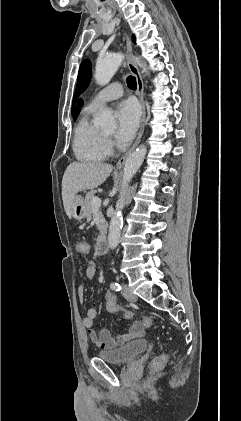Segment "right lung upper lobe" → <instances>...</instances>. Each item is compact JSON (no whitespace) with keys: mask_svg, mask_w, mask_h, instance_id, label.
I'll return each instance as SVG.
<instances>
[{"mask_svg":"<svg viewBox=\"0 0 241 421\" xmlns=\"http://www.w3.org/2000/svg\"><path fill=\"white\" fill-rule=\"evenodd\" d=\"M82 105H83V101L80 99L75 110L74 118H77Z\"/></svg>","mask_w":241,"mask_h":421,"instance_id":"right-lung-upper-lobe-1","label":"right lung upper lobe"}]
</instances>
